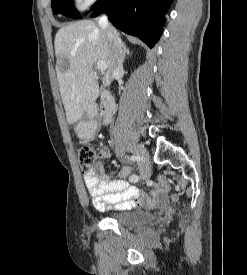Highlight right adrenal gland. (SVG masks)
Returning <instances> with one entry per match:
<instances>
[{"mask_svg": "<svg viewBox=\"0 0 247 275\" xmlns=\"http://www.w3.org/2000/svg\"><path fill=\"white\" fill-rule=\"evenodd\" d=\"M126 55H131L130 50L126 47L125 43H123V62L125 61Z\"/></svg>", "mask_w": 247, "mask_h": 275, "instance_id": "1", "label": "right adrenal gland"}]
</instances>
